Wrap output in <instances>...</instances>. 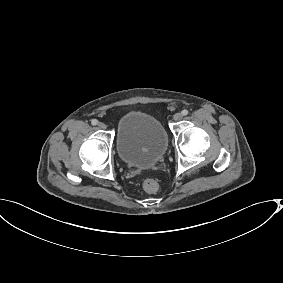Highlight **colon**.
I'll return each instance as SVG.
<instances>
[{"label": "colon", "mask_w": 283, "mask_h": 283, "mask_svg": "<svg viewBox=\"0 0 283 283\" xmlns=\"http://www.w3.org/2000/svg\"><path fill=\"white\" fill-rule=\"evenodd\" d=\"M142 187L147 193H156L159 189L157 181L152 178H146L142 183Z\"/></svg>", "instance_id": "obj_1"}]
</instances>
